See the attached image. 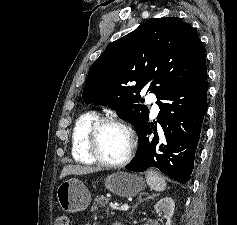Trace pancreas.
Here are the masks:
<instances>
[{"label": "pancreas", "mask_w": 237, "mask_h": 225, "mask_svg": "<svg viewBox=\"0 0 237 225\" xmlns=\"http://www.w3.org/2000/svg\"><path fill=\"white\" fill-rule=\"evenodd\" d=\"M109 202V198L101 195V196H97L94 199V203L92 204L91 208L93 210H96L98 207H105ZM107 212H109V208H107L106 210Z\"/></svg>", "instance_id": "obj_1"}]
</instances>
